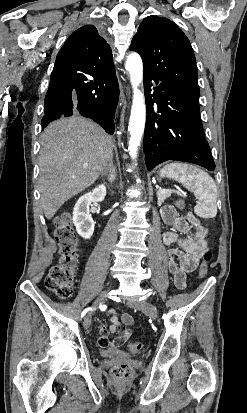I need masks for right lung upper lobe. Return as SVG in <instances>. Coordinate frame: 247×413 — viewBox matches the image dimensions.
<instances>
[{"label":"right lung upper lobe","instance_id":"right-lung-upper-lobe-1","mask_svg":"<svg viewBox=\"0 0 247 413\" xmlns=\"http://www.w3.org/2000/svg\"><path fill=\"white\" fill-rule=\"evenodd\" d=\"M114 70L112 51L93 25L74 31L60 49L53 71L101 74Z\"/></svg>","mask_w":247,"mask_h":413}]
</instances>
